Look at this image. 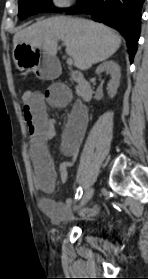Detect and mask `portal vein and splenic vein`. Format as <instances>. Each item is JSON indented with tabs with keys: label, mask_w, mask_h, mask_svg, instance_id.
<instances>
[{
	"label": "portal vein and splenic vein",
	"mask_w": 148,
	"mask_h": 279,
	"mask_svg": "<svg viewBox=\"0 0 148 279\" xmlns=\"http://www.w3.org/2000/svg\"><path fill=\"white\" fill-rule=\"evenodd\" d=\"M67 64H68V65H72V64H73L72 58L69 57V58L67 59Z\"/></svg>",
	"instance_id": "obj_1"
}]
</instances>
